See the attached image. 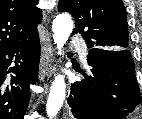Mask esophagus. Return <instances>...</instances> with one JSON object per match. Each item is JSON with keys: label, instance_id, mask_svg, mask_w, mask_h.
Here are the masks:
<instances>
[{"label": "esophagus", "instance_id": "34e87169", "mask_svg": "<svg viewBox=\"0 0 142 119\" xmlns=\"http://www.w3.org/2000/svg\"><path fill=\"white\" fill-rule=\"evenodd\" d=\"M53 55H54V49L50 38V33L47 31L45 36V41L42 46L41 60L39 65L40 81H44L45 78L51 77L52 72L50 70V66L53 60L52 59Z\"/></svg>", "mask_w": 142, "mask_h": 119}]
</instances>
